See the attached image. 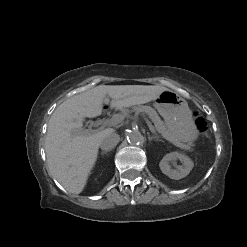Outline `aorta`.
<instances>
[{"instance_id": "obj_1", "label": "aorta", "mask_w": 247, "mask_h": 247, "mask_svg": "<svg viewBox=\"0 0 247 247\" xmlns=\"http://www.w3.org/2000/svg\"><path fill=\"white\" fill-rule=\"evenodd\" d=\"M127 141L130 145L137 146L144 143V137L139 131L132 130L127 133Z\"/></svg>"}]
</instances>
